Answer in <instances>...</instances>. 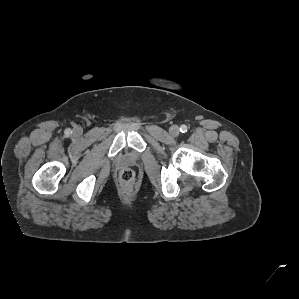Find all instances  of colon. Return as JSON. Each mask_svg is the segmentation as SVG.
I'll return each instance as SVG.
<instances>
[{
    "label": "colon",
    "instance_id": "colon-1",
    "mask_svg": "<svg viewBox=\"0 0 299 299\" xmlns=\"http://www.w3.org/2000/svg\"><path fill=\"white\" fill-rule=\"evenodd\" d=\"M120 182L125 186H131L134 183L135 175L131 169H123L119 174Z\"/></svg>",
    "mask_w": 299,
    "mask_h": 299
}]
</instances>
